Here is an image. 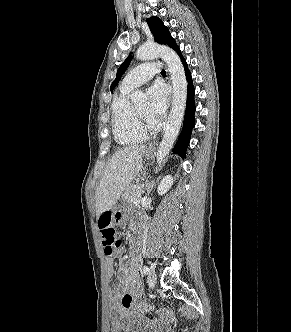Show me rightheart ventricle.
<instances>
[{
    "label": "right heart ventricle",
    "instance_id": "e07e8e85",
    "mask_svg": "<svg viewBox=\"0 0 291 332\" xmlns=\"http://www.w3.org/2000/svg\"><path fill=\"white\" fill-rule=\"evenodd\" d=\"M130 91L121 87L111 106L113 136L121 145L136 144L146 139V133L141 131L136 123L133 105L129 100Z\"/></svg>",
    "mask_w": 291,
    "mask_h": 332
}]
</instances>
